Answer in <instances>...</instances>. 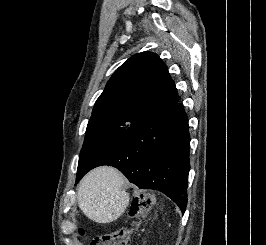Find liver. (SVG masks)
I'll list each match as a JSON object with an SVG mask.
<instances>
[{
	"label": "liver",
	"instance_id": "6515ba94",
	"mask_svg": "<svg viewBox=\"0 0 266 245\" xmlns=\"http://www.w3.org/2000/svg\"><path fill=\"white\" fill-rule=\"evenodd\" d=\"M125 177L113 167H98L83 177L77 191L78 205L91 221L113 223L129 205Z\"/></svg>",
	"mask_w": 266,
	"mask_h": 245
}]
</instances>
